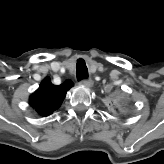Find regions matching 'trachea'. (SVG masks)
Listing matches in <instances>:
<instances>
[{
	"label": "trachea",
	"mask_w": 164,
	"mask_h": 164,
	"mask_svg": "<svg viewBox=\"0 0 164 164\" xmlns=\"http://www.w3.org/2000/svg\"><path fill=\"white\" fill-rule=\"evenodd\" d=\"M76 75H77V80H83L88 77V69L86 67L85 61L83 59H78L77 64H76Z\"/></svg>",
	"instance_id": "3493384b"
}]
</instances>
